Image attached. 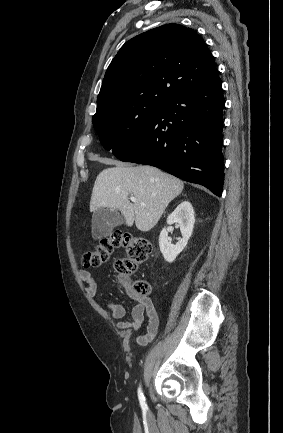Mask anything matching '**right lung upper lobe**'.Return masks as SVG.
<instances>
[{
	"mask_svg": "<svg viewBox=\"0 0 283 433\" xmlns=\"http://www.w3.org/2000/svg\"><path fill=\"white\" fill-rule=\"evenodd\" d=\"M213 57L191 28L166 24L127 41L110 63L96 114L138 102L165 104L218 78Z\"/></svg>",
	"mask_w": 283,
	"mask_h": 433,
	"instance_id": "right-lung-upper-lobe-1",
	"label": "right lung upper lobe"
}]
</instances>
